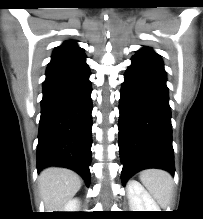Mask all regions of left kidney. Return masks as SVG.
I'll return each instance as SVG.
<instances>
[{"label": "left kidney", "mask_w": 203, "mask_h": 219, "mask_svg": "<svg viewBox=\"0 0 203 219\" xmlns=\"http://www.w3.org/2000/svg\"><path fill=\"white\" fill-rule=\"evenodd\" d=\"M126 189L131 211H160L156 202L139 182L129 180Z\"/></svg>", "instance_id": "obj_1"}]
</instances>
